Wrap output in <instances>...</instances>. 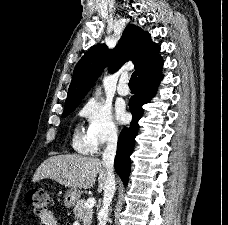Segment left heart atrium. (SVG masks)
Wrapping results in <instances>:
<instances>
[{"label":"left heart atrium","instance_id":"39dd6f15","mask_svg":"<svg viewBox=\"0 0 228 225\" xmlns=\"http://www.w3.org/2000/svg\"><path fill=\"white\" fill-rule=\"evenodd\" d=\"M117 118H118L119 122H121V123L125 122L126 118H127L126 113L123 110H119L117 112Z\"/></svg>","mask_w":228,"mask_h":225}]
</instances>
